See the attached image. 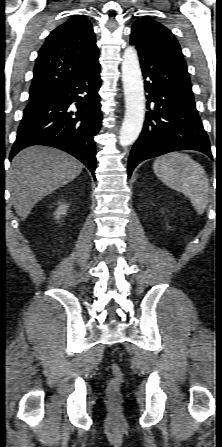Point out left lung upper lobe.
Listing matches in <instances>:
<instances>
[{
	"mask_svg": "<svg viewBox=\"0 0 222 447\" xmlns=\"http://www.w3.org/2000/svg\"><path fill=\"white\" fill-rule=\"evenodd\" d=\"M131 39L167 54L187 68L176 38L159 22L147 18L138 19L132 26Z\"/></svg>",
	"mask_w": 222,
	"mask_h": 447,
	"instance_id": "obj_1",
	"label": "left lung upper lobe"
}]
</instances>
